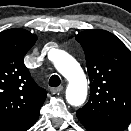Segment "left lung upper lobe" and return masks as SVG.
<instances>
[{"label":"left lung upper lobe","mask_w":131,"mask_h":131,"mask_svg":"<svg viewBox=\"0 0 131 131\" xmlns=\"http://www.w3.org/2000/svg\"><path fill=\"white\" fill-rule=\"evenodd\" d=\"M75 38L85 52L91 92L76 116L88 131H122L131 123V51L105 30Z\"/></svg>","instance_id":"left-lung-upper-lobe-1"}]
</instances>
